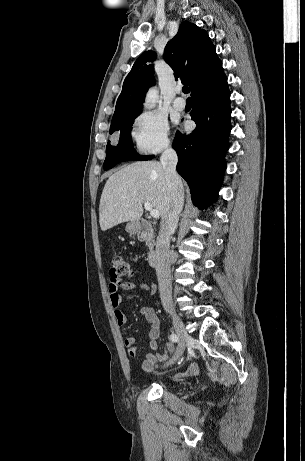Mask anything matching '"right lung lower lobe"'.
Returning a JSON list of instances; mask_svg holds the SVG:
<instances>
[{
  "mask_svg": "<svg viewBox=\"0 0 305 461\" xmlns=\"http://www.w3.org/2000/svg\"><path fill=\"white\" fill-rule=\"evenodd\" d=\"M191 119L197 124L190 135L177 132L173 148L177 171L188 183L193 203L206 209L215 202L226 169L230 125V92L224 74L192 94Z\"/></svg>",
  "mask_w": 305,
  "mask_h": 461,
  "instance_id": "98d812e1",
  "label": "right lung lower lobe"
}]
</instances>
